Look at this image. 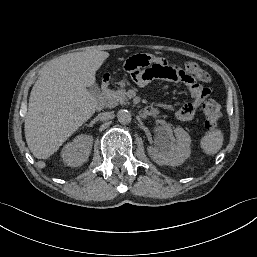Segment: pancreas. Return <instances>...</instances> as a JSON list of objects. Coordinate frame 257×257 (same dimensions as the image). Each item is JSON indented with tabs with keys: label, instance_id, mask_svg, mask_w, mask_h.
<instances>
[{
	"label": "pancreas",
	"instance_id": "pancreas-1",
	"mask_svg": "<svg viewBox=\"0 0 257 257\" xmlns=\"http://www.w3.org/2000/svg\"><path fill=\"white\" fill-rule=\"evenodd\" d=\"M125 82L121 83V89L118 90H107L104 94L105 105L108 108H114L115 106L127 103V96L125 90Z\"/></svg>",
	"mask_w": 257,
	"mask_h": 257
}]
</instances>
